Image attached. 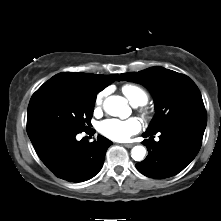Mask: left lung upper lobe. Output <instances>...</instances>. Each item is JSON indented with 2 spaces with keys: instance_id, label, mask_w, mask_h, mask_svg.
Segmentation results:
<instances>
[{
  "instance_id": "1",
  "label": "left lung upper lobe",
  "mask_w": 221,
  "mask_h": 221,
  "mask_svg": "<svg viewBox=\"0 0 221 221\" xmlns=\"http://www.w3.org/2000/svg\"><path fill=\"white\" fill-rule=\"evenodd\" d=\"M118 80L143 84L153 95L156 114L147 133L157 132L180 119L207 116L198 87L186 75L163 67H151L120 74Z\"/></svg>"
}]
</instances>
